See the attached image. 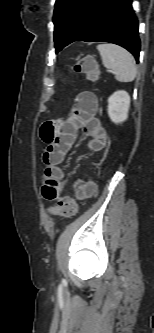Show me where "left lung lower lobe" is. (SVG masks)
<instances>
[{"label": "left lung lower lobe", "mask_w": 154, "mask_h": 333, "mask_svg": "<svg viewBox=\"0 0 154 333\" xmlns=\"http://www.w3.org/2000/svg\"><path fill=\"white\" fill-rule=\"evenodd\" d=\"M131 3L132 0H97L64 46L75 41L110 42L127 49L138 62V21Z\"/></svg>", "instance_id": "obj_1"}]
</instances>
